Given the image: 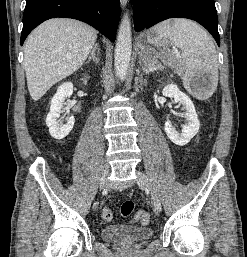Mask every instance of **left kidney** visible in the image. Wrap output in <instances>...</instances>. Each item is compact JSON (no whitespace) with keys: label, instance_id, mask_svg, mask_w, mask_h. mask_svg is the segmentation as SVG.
<instances>
[{"label":"left kidney","instance_id":"1","mask_svg":"<svg viewBox=\"0 0 247 257\" xmlns=\"http://www.w3.org/2000/svg\"><path fill=\"white\" fill-rule=\"evenodd\" d=\"M162 93L166 97L174 98L176 103L183 105L185 110L184 117L186 118L187 124L183 126L182 132L176 131L170 121L165 122L164 129L167 136L174 144L184 146L197 134L200 127L194 104L175 84L166 85Z\"/></svg>","mask_w":247,"mask_h":257}]
</instances>
